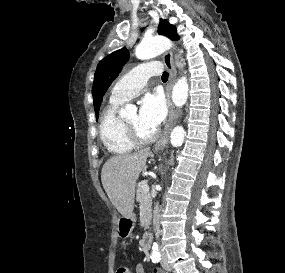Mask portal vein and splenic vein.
I'll return each instance as SVG.
<instances>
[{
  "mask_svg": "<svg viewBox=\"0 0 285 273\" xmlns=\"http://www.w3.org/2000/svg\"><path fill=\"white\" fill-rule=\"evenodd\" d=\"M142 188H143V190L146 191V192L149 191V186H148L147 183H144L143 186H142Z\"/></svg>",
  "mask_w": 285,
  "mask_h": 273,
  "instance_id": "18ae733b",
  "label": "portal vein and splenic vein"
}]
</instances>
